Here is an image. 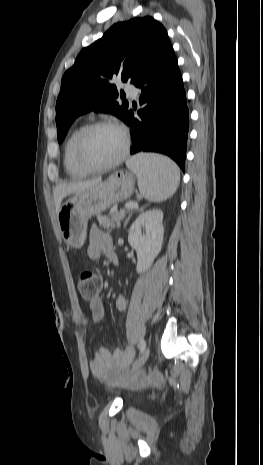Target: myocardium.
<instances>
[{"instance_id":"f54148a6","label":"myocardium","mask_w":263,"mask_h":465,"mask_svg":"<svg viewBox=\"0 0 263 465\" xmlns=\"http://www.w3.org/2000/svg\"><path fill=\"white\" fill-rule=\"evenodd\" d=\"M104 127H109V128H114L118 130L122 136L123 140V146L121 149V152L119 155L112 161L106 164H93L90 161L87 160L84 154V146H85V140L90 132H92L95 129L98 128H104ZM130 148V139L128 132L126 129L120 125L117 122L111 121V120H97L94 122H91L81 128L79 131L75 144H74V155L77 163L86 171L88 172H103L110 170L116 166H118L120 163L123 162L125 157L128 154Z\"/></svg>"}]
</instances>
